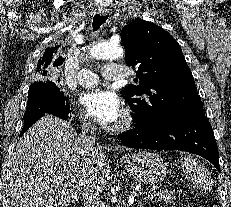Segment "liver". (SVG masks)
Masks as SVG:
<instances>
[{"mask_svg": "<svg viewBox=\"0 0 231 207\" xmlns=\"http://www.w3.org/2000/svg\"><path fill=\"white\" fill-rule=\"evenodd\" d=\"M95 167V184L101 192L110 167L100 148L93 161L82 152L74 128L46 114L19 140L11 157V207H67L80 198L83 172Z\"/></svg>", "mask_w": 231, "mask_h": 207, "instance_id": "liver-1", "label": "liver"}]
</instances>
